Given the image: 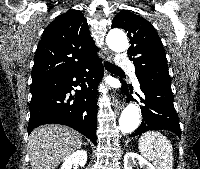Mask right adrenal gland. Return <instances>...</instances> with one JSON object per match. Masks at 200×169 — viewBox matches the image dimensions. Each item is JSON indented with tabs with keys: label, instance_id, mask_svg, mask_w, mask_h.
Returning <instances> with one entry per match:
<instances>
[{
	"label": "right adrenal gland",
	"instance_id": "obj_1",
	"mask_svg": "<svg viewBox=\"0 0 200 169\" xmlns=\"http://www.w3.org/2000/svg\"><path fill=\"white\" fill-rule=\"evenodd\" d=\"M82 145H85V146H86V143H82Z\"/></svg>",
	"mask_w": 200,
	"mask_h": 169
}]
</instances>
